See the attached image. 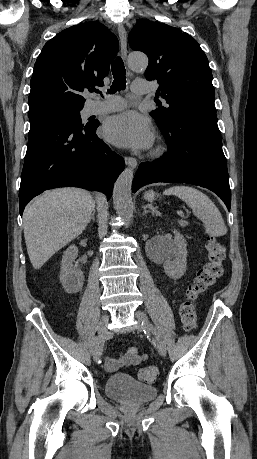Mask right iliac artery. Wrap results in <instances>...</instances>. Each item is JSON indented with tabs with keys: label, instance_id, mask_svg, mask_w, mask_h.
Wrapping results in <instances>:
<instances>
[{
	"label": "right iliac artery",
	"instance_id": "82829eb1",
	"mask_svg": "<svg viewBox=\"0 0 257 459\" xmlns=\"http://www.w3.org/2000/svg\"><path fill=\"white\" fill-rule=\"evenodd\" d=\"M99 341H100V336H97L93 339L92 345H91L92 352L95 350V348L99 344Z\"/></svg>",
	"mask_w": 257,
	"mask_h": 459
}]
</instances>
